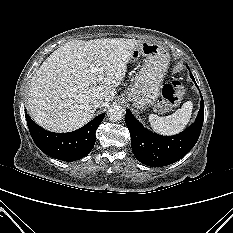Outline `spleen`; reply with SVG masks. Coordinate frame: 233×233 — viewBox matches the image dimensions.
<instances>
[{
    "instance_id": "spleen-1",
    "label": "spleen",
    "mask_w": 233,
    "mask_h": 233,
    "mask_svg": "<svg viewBox=\"0 0 233 233\" xmlns=\"http://www.w3.org/2000/svg\"><path fill=\"white\" fill-rule=\"evenodd\" d=\"M193 104L191 101L185 102L182 107L173 114L160 117L155 114L149 115V122L152 129L160 134L173 135L181 132L192 114Z\"/></svg>"
}]
</instances>
